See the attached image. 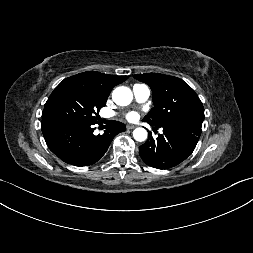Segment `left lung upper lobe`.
<instances>
[{
    "instance_id": "left-lung-upper-lobe-1",
    "label": "left lung upper lobe",
    "mask_w": 253,
    "mask_h": 253,
    "mask_svg": "<svg viewBox=\"0 0 253 253\" xmlns=\"http://www.w3.org/2000/svg\"><path fill=\"white\" fill-rule=\"evenodd\" d=\"M135 79L148 84L154 107L143 118L156 127L203 122L204 108L194 90L183 80L159 73L137 74Z\"/></svg>"
}]
</instances>
